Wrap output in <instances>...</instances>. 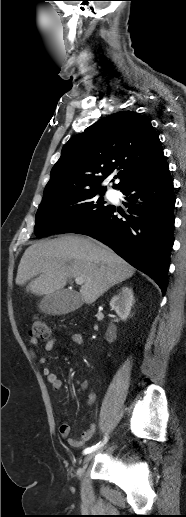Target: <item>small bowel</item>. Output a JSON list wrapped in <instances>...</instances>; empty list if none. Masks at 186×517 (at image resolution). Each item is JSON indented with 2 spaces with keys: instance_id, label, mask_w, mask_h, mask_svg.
<instances>
[{
  "instance_id": "c3829d8e",
  "label": "small bowel",
  "mask_w": 186,
  "mask_h": 517,
  "mask_svg": "<svg viewBox=\"0 0 186 517\" xmlns=\"http://www.w3.org/2000/svg\"><path fill=\"white\" fill-rule=\"evenodd\" d=\"M69 339L70 341L77 345V346H82L83 345V336L78 333V332H70L69 333ZM30 343L32 345V349L30 350V354L33 356V357H36L35 355V351H34V348H36L38 346V341L37 339L35 338H30ZM54 343H55V339L52 338L50 339L47 344L45 345V349L46 350H51L54 346ZM37 360L40 362V363H45V358L43 356H39L37 357ZM43 373L44 375L47 377V380L48 382L51 384L52 388L55 390V391H58L62 388V381L60 380V378L58 377V375L56 373H54L50 367L48 366H45L43 368ZM89 386V382L88 381H84L81 383L80 385V388L81 390H86ZM95 399H96V394L94 392H90L88 394V397H87V403L89 405H92L94 402H95ZM96 429H97V425L95 423H89L85 430L82 432L81 434V438L80 439H75V438H71L70 437V425L67 421H63L59 427V432H60V435L67 440L68 444L71 446V447H75V448H79V447H82L84 445L85 442L91 440V438L93 437V435L95 434L96 432Z\"/></svg>"
}]
</instances>
